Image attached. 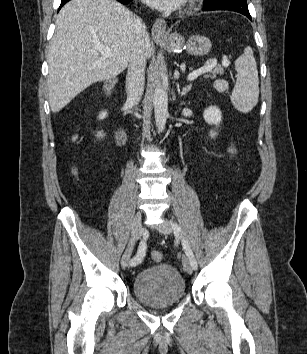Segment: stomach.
<instances>
[{
	"mask_svg": "<svg viewBox=\"0 0 307 354\" xmlns=\"http://www.w3.org/2000/svg\"><path fill=\"white\" fill-rule=\"evenodd\" d=\"M157 43L168 51L175 52L185 49L189 54L201 57L211 50V41L203 35H192L187 41L179 33H171L165 39H157Z\"/></svg>",
	"mask_w": 307,
	"mask_h": 354,
	"instance_id": "stomach-1",
	"label": "stomach"
}]
</instances>
